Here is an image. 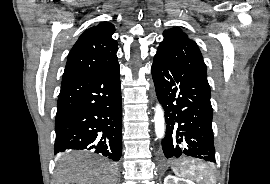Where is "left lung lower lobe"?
<instances>
[{
    "label": "left lung lower lobe",
    "instance_id": "1",
    "mask_svg": "<svg viewBox=\"0 0 270 184\" xmlns=\"http://www.w3.org/2000/svg\"><path fill=\"white\" fill-rule=\"evenodd\" d=\"M165 111L164 156H190L215 163L210 86L181 64L155 55L151 68Z\"/></svg>",
    "mask_w": 270,
    "mask_h": 184
}]
</instances>
